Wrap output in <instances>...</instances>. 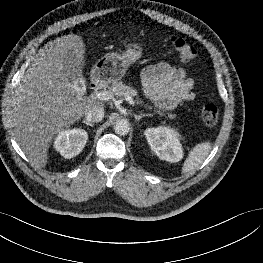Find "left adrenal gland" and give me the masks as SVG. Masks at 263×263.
Here are the masks:
<instances>
[{"mask_svg":"<svg viewBox=\"0 0 263 263\" xmlns=\"http://www.w3.org/2000/svg\"><path fill=\"white\" fill-rule=\"evenodd\" d=\"M146 116H152V114H149V113L134 114V118L137 121H139L140 119H142L143 117H146Z\"/></svg>","mask_w":263,"mask_h":263,"instance_id":"left-adrenal-gland-1","label":"left adrenal gland"}]
</instances>
